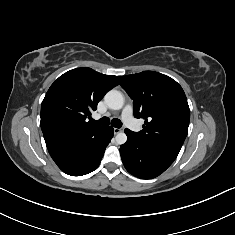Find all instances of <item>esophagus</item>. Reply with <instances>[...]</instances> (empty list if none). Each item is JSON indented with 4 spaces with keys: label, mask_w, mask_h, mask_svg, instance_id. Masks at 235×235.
Returning a JSON list of instances; mask_svg holds the SVG:
<instances>
[{
    "label": "esophagus",
    "mask_w": 235,
    "mask_h": 235,
    "mask_svg": "<svg viewBox=\"0 0 235 235\" xmlns=\"http://www.w3.org/2000/svg\"><path fill=\"white\" fill-rule=\"evenodd\" d=\"M122 131H123L122 128H114V133H115V134H118V133H120V132H122Z\"/></svg>",
    "instance_id": "1"
}]
</instances>
